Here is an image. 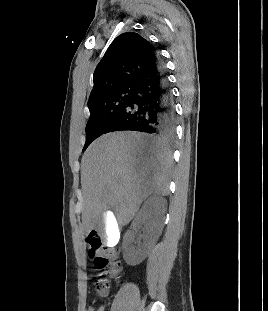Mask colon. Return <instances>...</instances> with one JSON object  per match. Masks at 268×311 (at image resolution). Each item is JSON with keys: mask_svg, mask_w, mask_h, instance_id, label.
<instances>
[{"mask_svg": "<svg viewBox=\"0 0 268 311\" xmlns=\"http://www.w3.org/2000/svg\"><path fill=\"white\" fill-rule=\"evenodd\" d=\"M87 243L90 260L104 275V278L94 281L93 285L98 293L105 294L110 287V279L120 277L119 251L115 247L102 246L101 236L97 232H91L88 235Z\"/></svg>", "mask_w": 268, "mask_h": 311, "instance_id": "1", "label": "colon"}]
</instances>
